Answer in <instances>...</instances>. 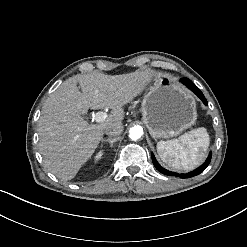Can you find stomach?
<instances>
[{"label": "stomach", "mask_w": 247, "mask_h": 247, "mask_svg": "<svg viewBox=\"0 0 247 247\" xmlns=\"http://www.w3.org/2000/svg\"><path fill=\"white\" fill-rule=\"evenodd\" d=\"M141 112L153 138L176 137L197 120L195 98L170 75L152 80L142 100Z\"/></svg>", "instance_id": "1"}]
</instances>
